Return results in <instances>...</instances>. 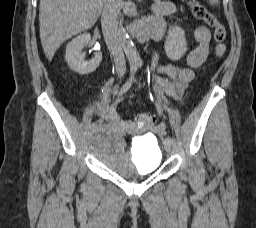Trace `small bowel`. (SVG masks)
<instances>
[{"mask_svg":"<svg viewBox=\"0 0 256 228\" xmlns=\"http://www.w3.org/2000/svg\"><path fill=\"white\" fill-rule=\"evenodd\" d=\"M154 16L148 20L153 24L159 26L163 32L165 29L164 18L176 12V7L166 1L157 0L153 5ZM194 39L197 46L190 51L187 56V67H182L177 64H159L157 52H153L151 67L154 72V81L156 85L161 88L167 95L179 100L188 84L194 78V68L201 66L207 59L209 54V44L211 40V33L205 26L199 25L194 30ZM164 76L167 77L164 78ZM113 89L106 88L103 93L101 117L116 128H121L130 125L129 120H125L119 112V103L123 97L117 98L115 103L111 102ZM156 133H162L164 126L159 125L153 128Z\"/></svg>","mask_w":256,"mask_h":228,"instance_id":"small-bowel-1","label":"small bowel"}]
</instances>
